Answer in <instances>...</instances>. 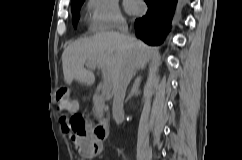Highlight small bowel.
Returning <instances> with one entry per match:
<instances>
[{
    "label": "small bowel",
    "instance_id": "small-bowel-1",
    "mask_svg": "<svg viewBox=\"0 0 242 160\" xmlns=\"http://www.w3.org/2000/svg\"><path fill=\"white\" fill-rule=\"evenodd\" d=\"M61 123H62L63 130L67 131L66 123L64 121H62V120H61ZM70 138L72 139V141H73V143H74V145L76 147L77 152L82 157L88 158L89 156L87 154H88V151L91 148L90 142L93 141V136H92V133H91V126H90V124L87 123V130H86V132L84 133L83 136L76 137V136L71 134ZM100 149H101V146H100Z\"/></svg>",
    "mask_w": 242,
    "mask_h": 160
}]
</instances>
